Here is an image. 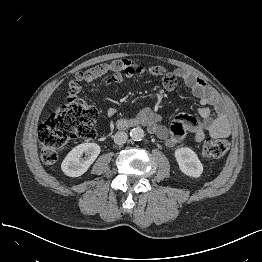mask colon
I'll return each mask as SVG.
<instances>
[{
	"label": "colon",
	"instance_id": "obj_1",
	"mask_svg": "<svg viewBox=\"0 0 262 262\" xmlns=\"http://www.w3.org/2000/svg\"><path fill=\"white\" fill-rule=\"evenodd\" d=\"M145 72V67L126 63L120 66L118 73L108 80L111 86H117L136 74ZM90 82L87 74L79 73L68 83V96L51 112L38 128L41 159L46 164L57 161L59 152L69 140L80 138L91 140L95 137L94 124L98 111L79 97L81 83ZM229 150V143L224 139L206 138L201 145L202 155L207 158L223 157Z\"/></svg>",
	"mask_w": 262,
	"mask_h": 262
}]
</instances>
